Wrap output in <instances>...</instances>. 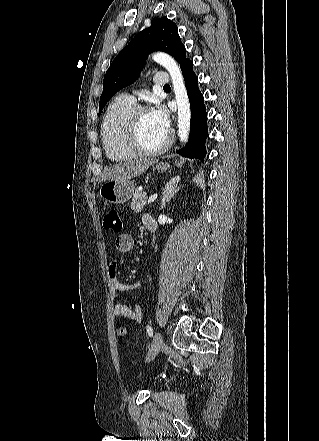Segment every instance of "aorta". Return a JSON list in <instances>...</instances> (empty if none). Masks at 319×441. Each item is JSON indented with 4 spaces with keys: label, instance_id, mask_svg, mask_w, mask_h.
<instances>
[{
    "label": "aorta",
    "instance_id": "762f6f07",
    "mask_svg": "<svg viewBox=\"0 0 319 441\" xmlns=\"http://www.w3.org/2000/svg\"><path fill=\"white\" fill-rule=\"evenodd\" d=\"M152 59L165 67L171 76L178 106L179 139L180 142L185 143L190 130L191 112L181 69L175 59L165 52L158 51L152 54Z\"/></svg>",
    "mask_w": 319,
    "mask_h": 441
}]
</instances>
